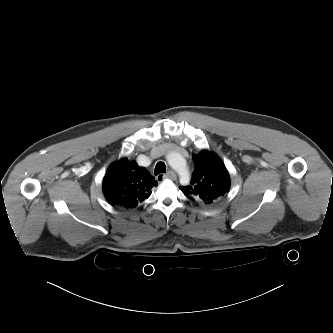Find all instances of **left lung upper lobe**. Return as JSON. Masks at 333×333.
I'll return each mask as SVG.
<instances>
[{"mask_svg":"<svg viewBox=\"0 0 333 333\" xmlns=\"http://www.w3.org/2000/svg\"><path fill=\"white\" fill-rule=\"evenodd\" d=\"M195 169L190 185L179 187L192 201L216 204L229 192L230 177L222 160L208 150L193 154Z\"/></svg>","mask_w":333,"mask_h":333,"instance_id":"left-lung-upper-lobe-1","label":"left lung upper lobe"}]
</instances>
